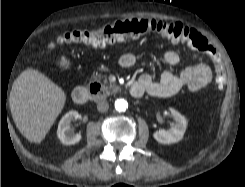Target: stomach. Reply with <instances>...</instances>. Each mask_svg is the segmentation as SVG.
<instances>
[{
	"label": "stomach",
	"mask_w": 245,
	"mask_h": 187,
	"mask_svg": "<svg viewBox=\"0 0 245 187\" xmlns=\"http://www.w3.org/2000/svg\"><path fill=\"white\" fill-rule=\"evenodd\" d=\"M59 64L61 67H67L70 64V61L65 56H62L59 60Z\"/></svg>",
	"instance_id": "obj_1"
}]
</instances>
